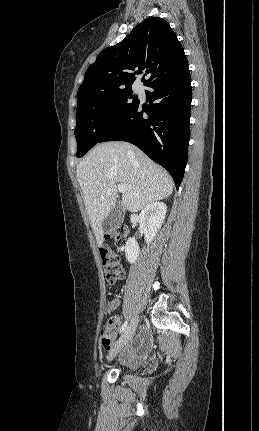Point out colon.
<instances>
[{
	"label": "colon",
	"mask_w": 259,
	"mask_h": 431,
	"mask_svg": "<svg viewBox=\"0 0 259 431\" xmlns=\"http://www.w3.org/2000/svg\"><path fill=\"white\" fill-rule=\"evenodd\" d=\"M128 235V230L124 226H119L106 235V239L112 240L117 247H122ZM100 257L103 265L105 278L108 284L113 285L124 277V268L120 262L119 255L108 245L100 248ZM111 310L110 303L106 307V312L109 314ZM116 320L108 316L101 331L102 344L108 346L110 344V331L114 328Z\"/></svg>",
	"instance_id": "obj_1"
}]
</instances>
